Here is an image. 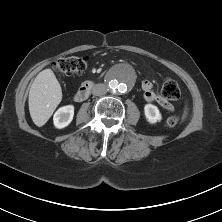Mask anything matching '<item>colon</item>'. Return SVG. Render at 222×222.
Wrapping results in <instances>:
<instances>
[{
    "instance_id": "colon-1",
    "label": "colon",
    "mask_w": 222,
    "mask_h": 222,
    "mask_svg": "<svg viewBox=\"0 0 222 222\" xmlns=\"http://www.w3.org/2000/svg\"><path fill=\"white\" fill-rule=\"evenodd\" d=\"M88 65V61L83 57H65L56 60L54 69L63 75L82 74ZM162 95L165 99L177 101L181 97L178 83L172 78H166L162 85ZM179 123V116L174 114L166 119L165 125L168 128L175 127Z\"/></svg>"
}]
</instances>
